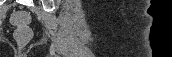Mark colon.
Instances as JSON below:
<instances>
[{
    "label": "colon",
    "mask_w": 172,
    "mask_h": 57,
    "mask_svg": "<svg viewBox=\"0 0 172 57\" xmlns=\"http://www.w3.org/2000/svg\"><path fill=\"white\" fill-rule=\"evenodd\" d=\"M29 21L30 17L25 12L18 11L12 15L11 22L16 27L15 38L20 46L26 45L32 37Z\"/></svg>",
    "instance_id": "obj_1"
}]
</instances>
